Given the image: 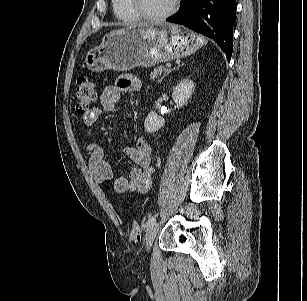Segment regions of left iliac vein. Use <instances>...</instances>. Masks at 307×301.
<instances>
[{
    "instance_id": "obj_1",
    "label": "left iliac vein",
    "mask_w": 307,
    "mask_h": 301,
    "mask_svg": "<svg viewBox=\"0 0 307 301\" xmlns=\"http://www.w3.org/2000/svg\"><path fill=\"white\" fill-rule=\"evenodd\" d=\"M158 231H159V225L158 224H154L153 226H151L147 230V232L145 234V240H144L147 252L150 251Z\"/></svg>"
}]
</instances>
